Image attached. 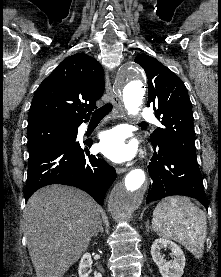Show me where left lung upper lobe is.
<instances>
[{
	"instance_id": "obj_1",
	"label": "left lung upper lobe",
	"mask_w": 221,
	"mask_h": 277,
	"mask_svg": "<svg viewBox=\"0 0 221 277\" xmlns=\"http://www.w3.org/2000/svg\"><path fill=\"white\" fill-rule=\"evenodd\" d=\"M135 62L141 65L148 78V103L164 128L151 134L157 146H171L196 159L192 104L184 83L155 58L140 54Z\"/></svg>"
}]
</instances>
